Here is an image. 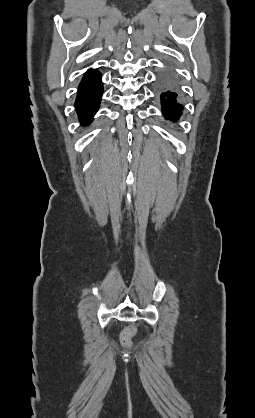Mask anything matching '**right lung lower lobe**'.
<instances>
[{"label": "right lung lower lobe", "instance_id": "98d812e1", "mask_svg": "<svg viewBox=\"0 0 255 418\" xmlns=\"http://www.w3.org/2000/svg\"><path fill=\"white\" fill-rule=\"evenodd\" d=\"M103 84L100 73L97 70H88L79 84L75 108L79 115V120L83 124L92 121L93 116L98 110Z\"/></svg>", "mask_w": 255, "mask_h": 418}]
</instances>
